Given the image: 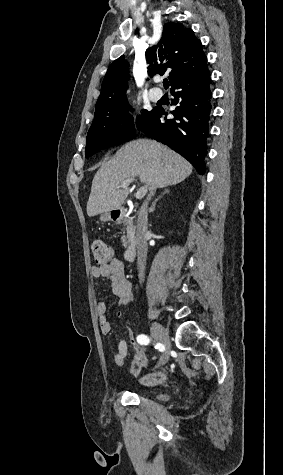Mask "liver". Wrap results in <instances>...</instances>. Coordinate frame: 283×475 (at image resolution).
I'll return each instance as SVG.
<instances>
[{
    "mask_svg": "<svg viewBox=\"0 0 283 475\" xmlns=\"http://www.w3.org/2000/svg\"><path fill=\"white\" fill-rule=\"evenodd\" d=\"M192 170L193 166L185 158L155 140L128 142L95 174L87 214L91 218L119 210L129 190L118 188L127 178L140 176V182L150 186L149 190H155L180 184L192 174Z\"/></svg>",
    "mask_w": 283,
    "mask_h": 475,
    "instance_id": "obj_1",
    "label": "liver"
}]
</instances>
